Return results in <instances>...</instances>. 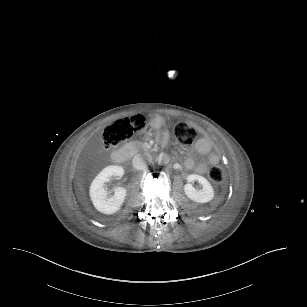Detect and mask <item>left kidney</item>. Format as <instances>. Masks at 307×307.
<instances>
[{
    "label": "left kidney",
    "mask_w": 307,
    "mask_h": 307,
    "mask_svg": "<svg viewBox=\"0 0 307 307\" xmlns=\"http://www.w3.org/2000/svg\"><path fill=\"white\" fill-rule=\"evenodd\" d=\"M198 181L202 189H196L192 184H185L183 187L185 195L197 203H208L214 198V189L210 182L199 175L191 174L188 176V182Z\"/></svg>",
    "instance_id": "1"
}]
</instances>
